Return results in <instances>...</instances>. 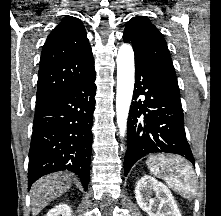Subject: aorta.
<instances>
[{
    "label": "aorta",
    "instance_id": "1",
    "mask_svg": "<svg viewBox=\"0 0 221 216\" xmlns=\"http://www.w3.org/2000/svg\"><path fill=\"white\" fill-rule=\"evenodd\" d=\"M117 62L116 115L120 136L124 137L134 90V52L129 44L120 46Z\"/></svg>",
    "mask_w": 221,
    "mask_h": 216
}]
</instances>
